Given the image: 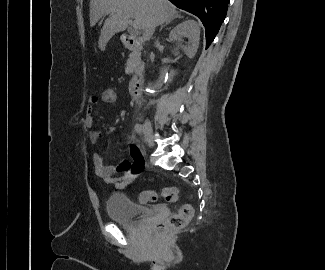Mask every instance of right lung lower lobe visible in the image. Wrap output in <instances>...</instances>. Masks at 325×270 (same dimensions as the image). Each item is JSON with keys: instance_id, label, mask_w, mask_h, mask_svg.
<instances>
[{"instance_id": "98d812e1", "label": "right lung lower lobe", "mask_w": 325, "mask_h": 270, "mask_svg": "<svg viewBox=\"0 0 325 270\" xmlns=\"http://www.w3.org/2000/svg\"><path fill=\"white\" fill-rule=\"evenodd\" d=\"M177 7L196 15L206 32V48L214 40L227 13L230 0H169Z\"/></svg>"}]
</instances>
